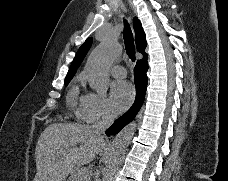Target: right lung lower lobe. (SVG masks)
Returning <instances> with one entry per match:
<instances>
[{"label":"right lung lower lobe","instance_id":"1","mask_svg":"<svg viewBox=\"0 0 228 181\" xmlns=\"http://www.w3.org/2000/svg\"><path fill=\"white\" fill-rule=\"evenodd\" d=\"M147 55L143 56V59L138 60L136 67L134 68V77H135V87H136V100L132 107L121 117H119L113 125L106 131L107 135H115L118 133L124 126L131 122L138 111L140 110L144 97L145 90L147 86Z\"/></svg>","mask_w":228,"mask_h":181}]
</instances>
